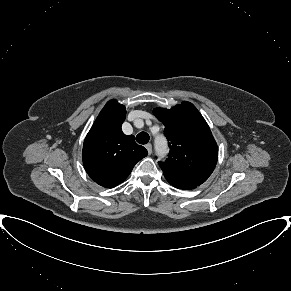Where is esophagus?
<instances>
[{"label": "esophagus", "instance_id": "1", "mask_svg": "<svg viewBox=\"0 0 291 291\" xmlns=\"http://www.w3.org/2000/svg\"><path fill=\"white\" fill-rule=\"evenodd\" d=\"M146 149L148 151V154L150 155L152 153V145L149 143V144H146Z\"/></svg>", "mask_w": 291, "mask_h": 291}]
</instances>
